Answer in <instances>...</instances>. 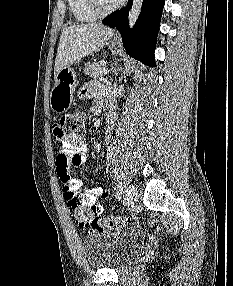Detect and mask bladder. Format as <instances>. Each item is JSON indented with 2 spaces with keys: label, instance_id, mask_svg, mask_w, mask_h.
<instances>
[{
  "label": "bladder",
  "instance_id": "1",
  "mask_svg": "<svg viewBox=\"0 0 233 286\" xmlns=\"http://www.w3.org/2000/svg\"><path fill=\"white\" fill-rule=\"evenodd\" d=\"M142 240L143 233L137 229L87 235L83 240L84 255L93 269H118L131 261Z\"/></svg>",
  "mask_w": 233,
  "mask_h": 286
}]
</instances>
